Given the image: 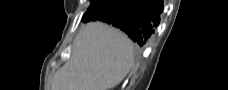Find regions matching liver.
<instances>
[{
	"mask_svg": "<svg viewBox=\"0 0 228 90\" xmlns=\"http://www.w3.org/2000/svg\"><path fill=\"white\" fill-rule=\"evenodd\" d=\"M134 62L132 42L119 30L94 22L74 39L70 59L53 77L52 90H110Z\"/></svg>",
	"mask_w": 228,
	"mask_h": 90,
	"instance_id": "1",
	"label": "liver"
}]
</instances>
